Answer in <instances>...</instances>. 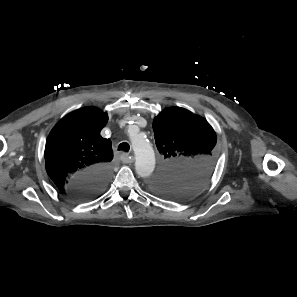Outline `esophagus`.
<instances>
[{
    "label": "esophagus",
    "mask_w": 297,
    "mask_h": 297,
    "mask_svg": "<svg viewBox=\"0 0 297 297\" xmlns=\"http://www.w3.org/2000/svg\"><path fill=\"white\" fill-rule=\"evenodd\" d=\"M120 159L123 163H132L133 162V157H131L130 155L126 154V153H122L120 155Z\"/></svg>",
    "instance_id": "34e87169"
}]
</instances>
